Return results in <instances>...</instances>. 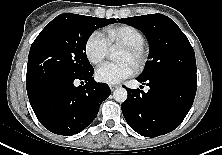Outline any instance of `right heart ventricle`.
I'll return each instance as SVG.
<instances>
[{
	"label": "right heart ventricle",
	"mask_w": 222,
	"mask_h": 155,
	"mask_svg": "<svg viewBox=\"0 0 222 155\" xmlns=\"http://www.w3.org/2000/svg\"><path fill=\"white\" fill-rule=\"evenodd\" d=\"M106 38L110 45L134 46L144 45L145 36L136 27L131 25H120L106 30Z\"/></svg>",
	"instance_id": "1"
}]
</instances>
